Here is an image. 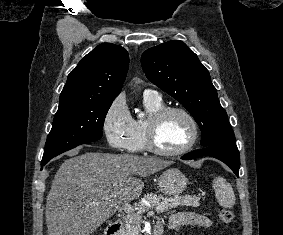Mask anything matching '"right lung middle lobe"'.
Instances as JSON below:
<instances>
[{"mask_svg":"<svg viewBox=\"0 0 283 235\" xmlns=\"http://www.w3.org/2000/svg\"><path fill=\"white\" fill-rule=\"evenodd\" d=\"M112 101L75 99L60 102L41 162H48L76 146L101 139Z\"/></svg>","mask_w":283,"mask_h":235,"instance_id":"right-lung-middle-lobe-1","label":"right lung middle lobe"}]
</instances>
